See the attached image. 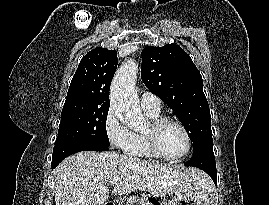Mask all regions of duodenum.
Instances as JSON below:
<instances>
[{
  "instance_id": "obj_1",
  "label": "duodenum",
  "mask_w": 269,
  "mask_h": 205,
  "mask_svg": "<svg viewBox=\"0 0 269 205\" xmlns=\"http://www.w3.org/2000/svg\"><path fill=\"white\" fill-rule=\"evenodd\" d=\"M104 205H115V204L112 203V202H107V203H105Z\"/></svg>"
}]
</instances>
